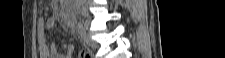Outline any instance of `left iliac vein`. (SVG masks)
<instances>
[{"label":"left iliac vein","mask_w":225,"mask_h":58,"mask_svg":"<svg viewBox=\"0 0 225 58\" xmlns=\"http://www.w3.org/2000/svg\"><path fill=\"white\" fill-rule=\"evenodd\" d=\"M83 40L90 47H93V48L98 47V43L95 42L94 40H92L91 37L87 33L83 34Z\"/></svg>","instance_id":"1"}]
</instances>
